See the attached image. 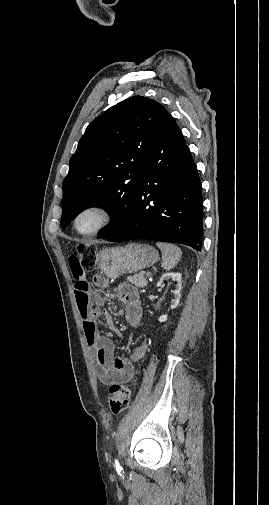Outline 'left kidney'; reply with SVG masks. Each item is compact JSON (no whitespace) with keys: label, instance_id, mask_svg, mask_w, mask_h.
Wrapping results in <instances>:
<instances>
[{"label":"left kidney","instance_id":"left-kidney-1","mask_svg":"<svg viewBox=\"0 0 269 505\" xmlns=\"http://www.w3.org/2000/svg\"><path fill=\"white\" fill-rule=\"evenodd\" d=\"M172 279L176 281V289L173 292V299L171 304V309H175L180 301L181 297V285H182V275L179 272H168L161 276L160 280L157 283V286H161L165 280ZM168 319V315H162L159 317V322H165Z\"/></svg>","mask_w":269,"mask_h":505}]
</instances>
